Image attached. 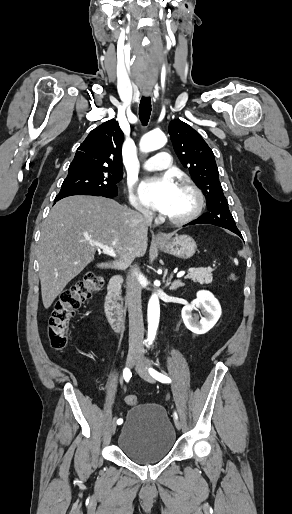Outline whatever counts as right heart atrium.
<instances>
[{
    "instance_id": "right-heart-atrium-1",
    "label": "right heart atrium",
    "mask_w": 292,
    "mask_h": 514,
    "mask_svg": "<svg viewBox=\"0 0 292 514\" xmlns=\"http://www.w3.org/2000/svg\"><path fill=\"white\" fill-rule=\"evenodd\" d=\"M135 181L131 178L127 180V189L130 197L131 204L135 209H142L144 212L146 207L143 201L135 193Z\"/></svg>"
}]
</instances>
